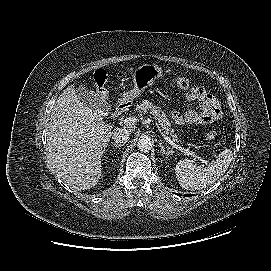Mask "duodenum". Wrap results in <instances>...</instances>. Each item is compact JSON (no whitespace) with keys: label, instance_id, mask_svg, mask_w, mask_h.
I'll return each instance as SVG.
<instances>
[{"label":"duodenum","instance_id":"410a0bca","mask_svg":"<svg viewBox=\"0 0 271 271\" xmlns=\"http://www.w3.org/2000/svg\"><path fill=\"white\" fill-rule=\"evenodd\" d=\"M126 108H127V104L125 102L119 103L115 107V109H114V111L112 113V117H118V116H120L122 113H124V111L126 110Z\"/></svg>","mask_w":271,"mask_h":271}]
</instances>
